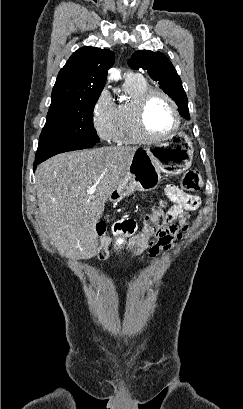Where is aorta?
<instances>
[{
  "instance_id": "obj_1",
  "label": "aorta",
  "mask_w": 243,
  "mask_h": 409,
  "mask_svg": "<svg viewBox=\"0 0 243 409\" xmlns=\"http://www.w3.org/2000/svg\"><path fill=\"white\" fill-rule=\"evenodd\" d=\"M111 78H113L115 80H119L120 79V72L118 70H113L111 72Z\"/></svg>"
}]
</instances>
